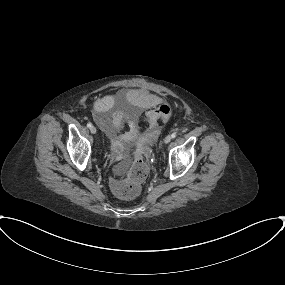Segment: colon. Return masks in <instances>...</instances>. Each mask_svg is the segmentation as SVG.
<instances>
[{"label": "colon", "instance_id": "1", "mask_svg": "<svg viewBox=\"0 0 285 285\" xmlns=\"http://www.w3.org/2000/svg\"><path fill=\"white\" fill-rule=\"evenodd\" d=\"M145 123L148 127L157 126L159 121L154 120V112L145 115ZM147 174V165L142 160H136L127 173L113 182V192L121 199H133L138 196L141 183Z\"/></svg>", "mask_w": 285, "mask_h": 285}]
</instances>
